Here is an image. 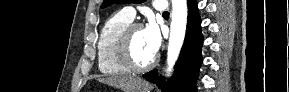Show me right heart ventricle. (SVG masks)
Segmentation results:
<instances>
[{
    "label": "right heart ventricle",
    "instance_id": "e07e8e85",
    "mask_svg": "<svg viewBox=\"0 0 289 92\" xmlns=\"http://www.w3.org/2000/svg\"><path fill=\"white\" fill-rule=\"evenodd\" d=\"M132 22L122 12L111 15L103 24L97 41L99 71L104 75H124L129 72L117 59L115 45L122 30Z\"/></svg>",
    "mask_w": 289,
    "mask_h": 92
}]
</instances>
